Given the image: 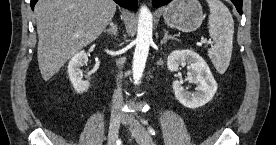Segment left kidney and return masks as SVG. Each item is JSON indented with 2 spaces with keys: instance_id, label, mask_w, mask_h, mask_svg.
Segmentation results:
<instances>
[{
  "instance_id": "1",
  "label": "left kidney",
  "mask_w": 276,
  "mask_h": 145,
  "mask_svg": "<svg viewBox=\"0 0 276 145\" xmlns=\"http://www.w3.org/2000/svg\"><path fill=\"white\" fill-rule=\"evenodd\" d=\"M185 65L189 82L197 85L196 91H187L182 86V81L178 80L173 81L172 87L175 97L182 105L195 109L208 103L214 97L218 86L207 63L193 50H175L167 58V67L171 72H176L179 66Z\"/></svg>"
}]
</instances>
